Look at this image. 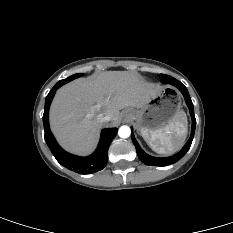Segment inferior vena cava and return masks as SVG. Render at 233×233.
<instances>
[{"instance_id":"obj_1","label":"inferior vena cava","mask_w":233,"mask_h":233,"mask_svg":"<svg viewBox=\"0 0 233 233\" xmlns=\"http://www.w3.org/2000/svg\"><path fill=\"white\" fill-rule=\"evenodd\" d=\"M97 120L101 123V124H106L109 122L110 118L109 116H106L104 114H99L97 117Z\"/></svg>"}]
</instances>
